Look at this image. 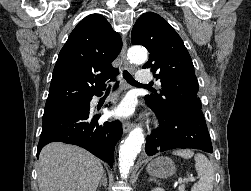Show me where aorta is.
Here are the masks:
<instances>
[{
    "label": "aorta",
    "instance_id": "aorta-1",
    "mask_svg": "<svg viewBox=\"0 0 251 191\" xmlns=\"http://www.w3.org/2000/svg\"><path fill=\"white\" fill-rule=\"evenodd\" d=\"M127 56L132 64H145L148 58L147 50L140 48V46L129 48ZM142 143H144L143 129L142 127H135V129L130 131L124 143L120 145L119 169L121 177H127V173H129V169L133 165Z\"/></svg>",
    "mask_w": 251,
    "mask_h": 191
}]
</instances>
